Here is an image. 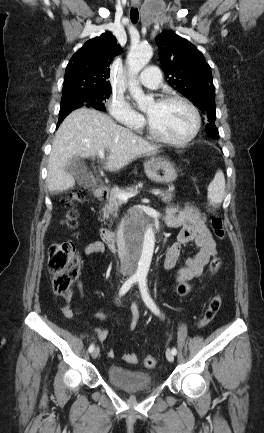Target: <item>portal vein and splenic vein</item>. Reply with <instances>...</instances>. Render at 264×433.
Returning <instances> with one entry per match:
<instances>
[{
	"instance_id": "1",
	"label": "portal vein and splenic vein",
	"mask_w": 264,
	"mask_h": 433,
	"mask_svg": "<svg viewBox=\"0 0 264 433\" xmlns=\"http://www.w3.org/2000/svg\"><path fill=\"white\" fill-rule=\"evenodd\" d=\"M98 156H99V158L103 159L104 158V150H100L98 152ZM137 193H138L137 191H134V192H118L117 193V197L121 201H127L129 198H132V197L136 196ZM160 193L161 192H160L159 189L152 191V194H154V195H159Z\"/></svg>"
}]
</instances>
